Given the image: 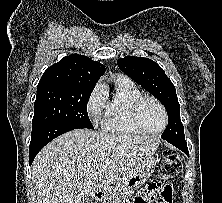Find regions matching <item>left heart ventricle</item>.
<instances>
[{
	"instance_id": "obj_1",
	"label": "left heart ventricle",
	"mask_w": 222,
	"mask_h": 203,
	"mask_svg": "<svg viewBox=\"0 0 222 203\" xmlns=\"http://www.w3.org/2000/svg\"><path fill=\"white\" fill-rule=\"evenodd\" d=\"M140 119L143 125L152 131L159 130L164 123L161 109L153 101L147 100L140 108Z\"/></svg>"
}]
</instances>
